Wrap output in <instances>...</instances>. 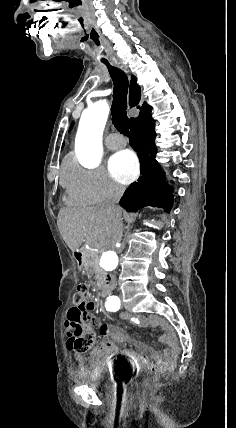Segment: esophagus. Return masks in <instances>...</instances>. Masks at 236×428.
Instances as JSON below:
<instances>
[{
  "label": "esophagus",
  "instance_id": "esophagus-1",
  "mask_svg": "<svg viewBox=\"0 0 236 428\" xmlns=\"http://www.w3.org/2000/svg\"><path fill=\"white\" fill-rule=\"evenodd\" d=\"M115 64H117L118 66H120L122 68V70H124V72H127V67L119 62H115Z\"/></svg>",
  "mask_w": 236,
  "mask_h": 428
}]
</instances>
